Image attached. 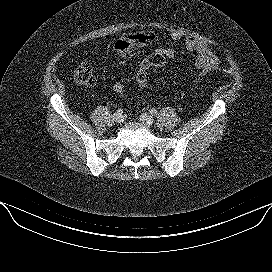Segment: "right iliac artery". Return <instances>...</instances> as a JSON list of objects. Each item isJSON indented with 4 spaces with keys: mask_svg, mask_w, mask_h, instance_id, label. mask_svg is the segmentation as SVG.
<instances>
[{
    "mask_svg": "<svg viewBox=\"0 0 272 272\" xmlns=\"http://www.w3.org/2000/svg\"><path fill=\"white\" fill-rule=\"evenodd\" d=\"M122 113H123V109L119 108V109L117 110V114H122Z\"/></svg>",
    "mask_w": 272,
    "mask_h": 272,
    "instance_id": "right-iliac-artery-1",
    "label": "right iliac artery"
}]
</instances>
